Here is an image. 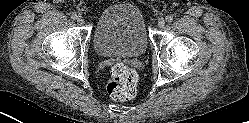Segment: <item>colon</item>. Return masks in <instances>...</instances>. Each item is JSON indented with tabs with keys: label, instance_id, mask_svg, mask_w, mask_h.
I'll use <instances>...</instances> for the list:
<instances>
[{
	"label": "colon",
	"instance_id": "1",
	"mask_svg": "<svg viewBox=\"0 0 249 123\" xmlns=\"http://www.w3.org/2000/svg\"><path fill=\"white\" fill-rule=\"evenodd\" d=\"M137 83L136 71L123 62H117L110 69L106 90L112 99L126 101L135 96Z\"/></svg>",
	"mask_w": 249,
	"mask_h": 123
}]
</instances>
